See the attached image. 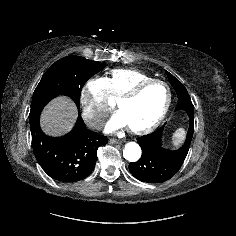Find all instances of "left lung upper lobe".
Here are the masks:
<instances>
[{"label": "left lung upper lobe", "instance_id": "1", "mask_svg": "<svg viewBox=\"0 0 236 236\" xmlns=\"http://www.w3.org/2000/svg\"><path fill=\"white\" fill-rule=\"evenodd\" d=\"M166 75L177 93L178 102L185 101V100L191 101L190 96L186 88L184 87V85L168 71H166Z\"/></svg>", "mask_w": 236, "mask_h": 236}]
</instances>
